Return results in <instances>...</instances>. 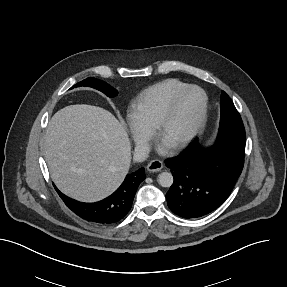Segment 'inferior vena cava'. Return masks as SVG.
Masks as SVG:
<instances>
[{
    "label": "inferior vena cava",
    "instance_id": "inferior-vena-cava-1",
    "mask_svg": "<svg viewBox=\"0 0 287 287\" xmlns=\"http://www.w3.org/2000/svg\"><path fill=\"white\" fill-rule=\"evenodd\" d=\"M150 147L147 144L136 145L134 160L138 162H142L146 160L149 156Z\"/></svg>",
    "mask_w": 287,
    "mask_h": 287
}]
</instances>
